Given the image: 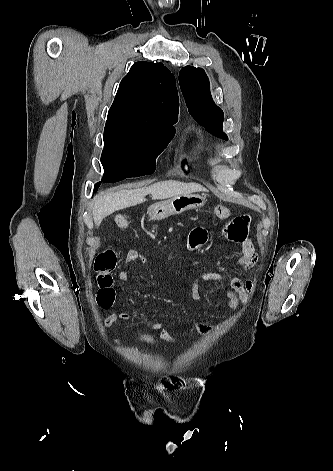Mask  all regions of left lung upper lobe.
<instances>
[{"instance_id": "1", "label": "left lung upper lobe", "mask_w": 333, "mask_h": 471, "mask_svg": "<svg viewBox=\"0 0 333 471\" xmlns=\"http://www.w3.org/2000/svg\"><path fill=\"white\" fill-rule=\"evenodd\" d=\"M179 83L189 113L207 131L227 139L222 131L223 111L210 95V85L204 70L186 66L179 73Z\"/></svg>"}]
</instances>
